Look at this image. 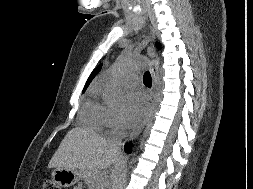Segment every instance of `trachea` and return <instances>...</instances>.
Listing matches in <instances>:
<instances>
[{"mask_svg": "<svg viewBox=\"0 0 253 189\" xmlns=\"http://www.w3.org/2000/svg\"><path fill=\"white\" fill-rule=\"evenodd\" d=\"M143 82L145 84V86H147L148 88H151L152 86V78L150 75V72H145L144 76H143Z\"/></svg>", "mask_w": 253, "mask_h": 189, "instance_id": "1", "label": "trachea"}]
</instances>
